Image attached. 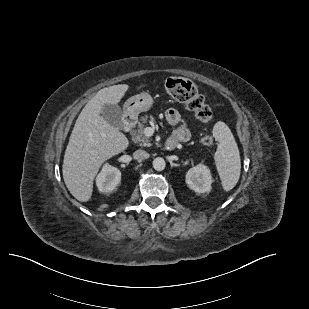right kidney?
I'll list each match as a JSON object with an SVG mask.
<instances>
[{
	"instance_id": "obj_1",
	"label": "right kidney",
	"mask_w": 309,
	"mask_h": 309,
	"mask_svg": "<svg viewBox=\"0 0 309 309\" xmlns=\"http://www.w3.org/2000/svg\"><path fill=\"white\" fill-rule=\"evenodd\" d=\"M121 181V172L118 168L105 164L96 178L99 192L108 193L113 191Z\"/></svg>"
}]
</instances>
